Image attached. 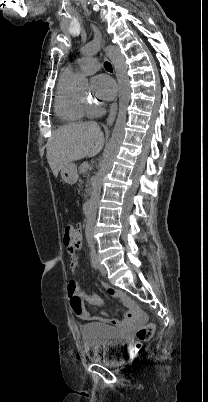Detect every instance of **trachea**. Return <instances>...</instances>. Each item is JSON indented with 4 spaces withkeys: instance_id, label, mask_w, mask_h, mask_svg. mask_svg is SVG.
<instances>
[{
    "instance_id": "3493384b",
    "label": "trachea",
    "mask_w": 208,
    "mask_h": 402,
    "mask_svg": "<svg viewBox=\"0 0 208 402\" xmlns=\"http://www.w3.org/2000/svg\"><path fill=\"white\" fill-rule=\"evenodd\" d=\"M104 67H105L106 70H108V72H112V71H113V70H112L111 63H109V62H105V63H104Z\"/></svg>"
}]
</instances>
